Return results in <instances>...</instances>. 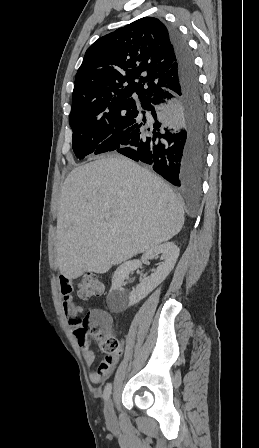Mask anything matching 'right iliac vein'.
<instances>
[{"mask_svg":"<svg viewBox=\"0 0 259 448\" xmlns=\"http://www.w3.org/2000/svg\"><path fill=\"white\" fill-rule=\"evenodd\" d=\"M104 415H105V419L107 421L108 424H115L116 422V417H115V413H114V408H113V402L111 398H108L105 406H104Z\"/></svg>","mask_w":259,"mask_h":448,"instance_id":"1","label":"right iliac vein"}]
</instances>
